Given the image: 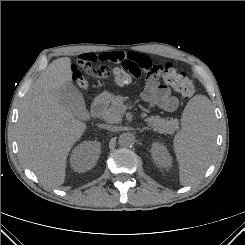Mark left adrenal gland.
Returning a JSON list of instances; mask_svg holds the SVG:
<instances>
[{"mask_svg":"<svg viewBox=\"0 0 245 245\" xmlns=\"http://www.w3.org/2000/svg\"><path fill=\"white\" fill-rule=\"evenodd\" d=\"M150 128L149 127H143L142 129H139L140 132H143L145 130H149Z\"/></svg>","mask_w":245,"mask_h":245,"instance_id":"1","label":"left adrenal gland"}]
</instances>
